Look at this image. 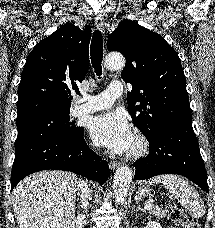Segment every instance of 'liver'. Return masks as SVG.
<instances>
[{"instance_id":"1","label":"liver","mask_w":215,"mask_h":228,"mask_svg":"<svg viewBox=\"0 0 215 228\" xmlns=\"http://www.w3.org/2000/svg\"><path fill=\"white\" fill-rule=\"evenodd\" d=\"M76 174L36 172L12 192L18 228H75Z\"/></svg>"}]
</instances>
